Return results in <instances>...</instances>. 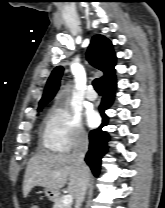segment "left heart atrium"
<instances>
[{"instance_id":"1","label":"left heart atrium","mask_w":165,"mask_h":208,"mask_svg":"<svg viewBox=\"0 0 165 208\" xmlns=\"http://www.w3.org/2000/svg\"><path fill=\"white\" fill-rule=\"evenodd\" d=\"M98 115L96 112L90 110L86 114V120L89 126L93 127L98 123Z\"/></svg>"}]
</instances>
